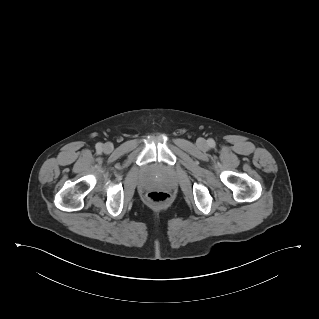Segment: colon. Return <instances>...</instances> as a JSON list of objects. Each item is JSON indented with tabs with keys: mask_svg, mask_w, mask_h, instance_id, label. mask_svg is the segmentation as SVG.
<instances>
[{
	"mask_svg": "<svg viewBox=\"0 0 319 319\" xmlns=\"http://www.w3.org/2000/svg\"><path fill=\"white\" fill-rule=\"evenodd\" d=\"M147 198L149 201L153 203H164L169 199V195L162 190H153L147 194Z\"/></svg>",
	"mask_w": 319,
	"mask_h": 319,
	"instance_id": "5ec220e1",
	"label": "colon"
}]
</instances>
